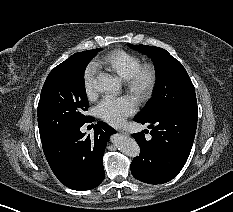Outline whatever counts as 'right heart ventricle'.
Instances as JSON below:
<instances>
[{
    "mask_svg": "<svg viewBox=\"0 0 233 212\" xmlns=\"http://www.w3.org/2000/svg\"><path fill=\"white\" fill-rule=\"evenodd\" d=\"M97 64L126 80L142 63L141 59L132 53L125 50H113L99 59Z\"/></svg>",
    "mask_w": 233,
    "mask_h": 212,
    "instance_id": "right-heart-ventricle-1",
    "label": "right heart ventricle"
}]
</instances>
